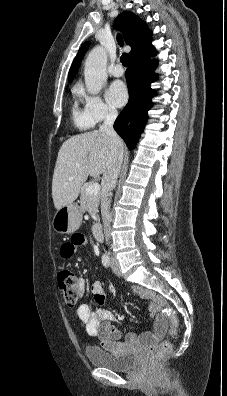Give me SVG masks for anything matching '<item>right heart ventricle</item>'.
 <instances>
[{"mask_svg":"<svg viewBox=\"0 0 227 396\" xmlns=\"http://www.w3.org/2000/svg\"><path fill=\"white\" fill-rule=\"evenodd\" d=\"M72 120L79 130H88L93 127V123L88 119L84 110H81L78 103L74 102L71 110Z\"/></svg>","mask_w":227,"mask_h":396,"instance_id":"obj_1","label":"right heart ventricle"}]
</instances>
